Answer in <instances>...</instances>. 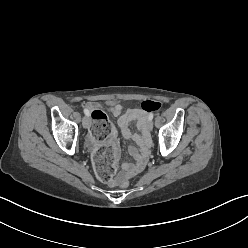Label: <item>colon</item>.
Listing matches in <instances>:
<instances>
[{
	"mask_svg": "<svg viewBox=\"0 0 248 248\" xmlns=\"http://www.w3.org/2000/svg\"><path fill=\"white\" fill-rule=\"evenodd\" d=\"M162 107L163 104L155 100H144L140 104L141 110L146 113L160 111ZM91 118V133L97 144L102 145L98 151H96L94 157L97 175L103 180L115 182L114 175L117 169V160L113 159L111 147L104 144L109 143L110 136L116 134V128L114 124L109 121L106 114L99 109H95L91 112ZM119 186L124 189L129 187V182L126 177L119 178Z\"/></svg>",
	"mask_w": 248,
	"mask_h": 248,
	"instance_id": "obj_1",
	"label": "colon"
}]
</instances>
